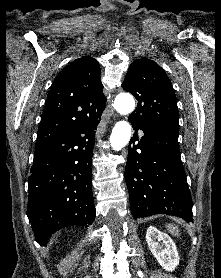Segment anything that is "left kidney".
I'll return each instance as SVG.
<instances>
[{
  "label": "left kidney",
  "instance_id": "left-kidney-1",
  "mask_svg": "<svg viewBox=\"0 0 221 278\" xmlns=\"http://www.w3.org/2000/svg\"><path fill=\"white\" fill-rule=\"evenodd\" d=\"M147 245L159 264L167 271H173L179 264V255L174 241L156 227L146 232Z\"/></svg>",
  "mask_w": 221,
  "mask_h": 278
}]
</instances>
